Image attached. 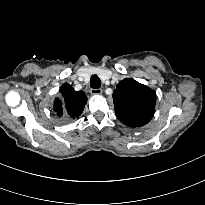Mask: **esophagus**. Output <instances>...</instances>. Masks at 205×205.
<instances>
[{"mask_svg":"<svg viewBox=\"0 0 205 205\" xmlns=\"http://www.w3.org/2000/svg\"><path fill=\"white\" fill-rule=\"evenodd\" d=\"M90 93L92 95H100L102 93V89L98 88V89H91Z\"/></svg>","mask_w":205,"mask_h":205,"instance_id":"obj_1","label":"esophagus"}]
</instances>
